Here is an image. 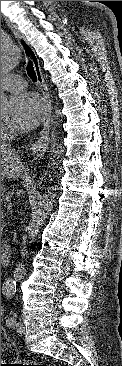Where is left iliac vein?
Segmentation results:
<instances>
[{
  "label": "left iliac vein",
  "instance_id": "left-iliac-vein-1",
  "mask_svg": "<svg viewBox=\"0 0 122 366\" xmlns=\"http://www.w3.org/2000/svg\"><path fill=\"white\" fill-rule=\"evenodd\" d=\"M16 329H17V332L20 333V334H23L25 332V326L21 321H19L16 324Z\"/></svg>",
  "mask_w": 122,
  "mask_h": 366
}]
</instances>
